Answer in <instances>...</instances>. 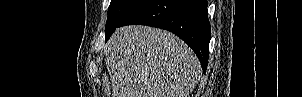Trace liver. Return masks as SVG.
<instances>
[{"mask_svg":"<svg viewBox=\"0 0 302 97\" xmlns=\"http://www.w3.org/2000/svg\"><path fill=\"white\" fill-rule=\"evenodd\" d=\"M105 63L113 97H188L201 75L197 56L181 39L141 25L115 30Z\"/></svg>","mask_w":302,"mask_h":97,"instance_id":"6515ba94","label":"liver"}]
</instances>
